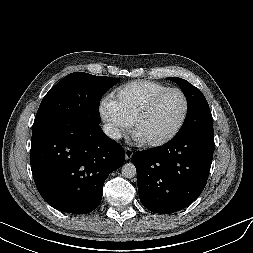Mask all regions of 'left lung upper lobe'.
<instances>
[{
	"mask_svg": "<svg viewBox=\"0 0 253 253\" xmlns=\"http://www.w3.org/2000/svg\"><path fill=\"white\" fill-rule=\"evenodd\" d=\"M169 79L180 86L188 103L187 118L178 134L196 133L207 128H213L212 114L203 93L184 79Z\"/></svg>",
	"mask_w": 253,
	"mask_h": 253,
	"instance_id": "obj_1",
	"label": "left lung upper lobe"
}]
</instances>
